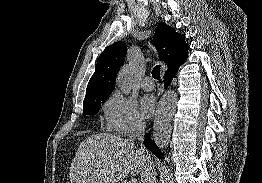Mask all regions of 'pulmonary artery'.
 Returning <instances> with one entry per match:
<instances>
[{"label": "pulmonary artery", "instance_id": "obj_1", "mask_svg": "<svg viewBox=\"0 0 262 183\" xmlns=\"http://www.w3.org/2000/svg\"><path fill=\"white\" fill-rule=\"evenodd\" d=\"M141 87L146 91H151L155 88L153 79L150 76H145L141 81Z\"/></svg>", "mask_w": 262, "mask_h": 183}]
</instances>
